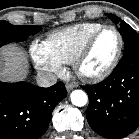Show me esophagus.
<instances>
[{"label":"esophagus","instance_id":"obj_1","mask_svg":"<svg viewBox=\"0 0 139 139\" xmlns=\"http://www.w3.org/2000/svg\"><path fill=\"white\" fill-rule=\"evenodd\" d=\"M76 86H77L76 83H73V82L67 83V84H66V89H67V91L69 92V91H71L72 89H74Z\"/></svg>","mask_w":139,"mask_h":139}]
</instances>
